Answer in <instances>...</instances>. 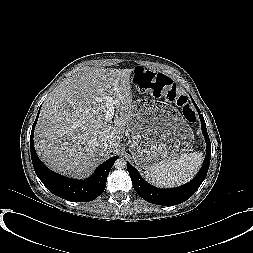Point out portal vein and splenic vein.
Returning a JSON list of instances; mask_svg holds the SVG:
<instances>
[{
  "label": "portal vein and splenic vein",
  "instance_id": "1",
  "mask_svg": "<svg viewBox=\"0 0 253 253\" xmlns=\"http://www.w3.org/2000/svg\"><path fill=\"white\" fill-rule=\"evenodd\" d=\"M114 100L112 97H109L106 99V114H105V120L107 122H111L113 116H114Z\"/></svg>",
  "mask_w": 253,
  "mask_h": 253
}]
</instances>
